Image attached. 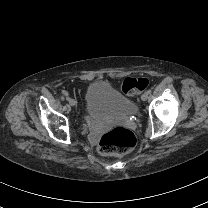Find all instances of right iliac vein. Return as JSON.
I'll return each instance as SVG.
<instances>
[{
    "mask_svg": "<svg viewBox=\"0 0 208 208\" xmlns=\"http://www.w3.org/2000/svg\"><path fill=\"white\" fill-rule=\"evenodd\" d=\"M76 103H77V102H76L74 99H71V100L69 101V104H70L71 106H75Z\"/></svg>",
    "mask_w": 208,
    "mask_h": 208,
    "instance_id": "right-iliac-vein-1",
    "label": "right iliac vein"
}]
</instances>
